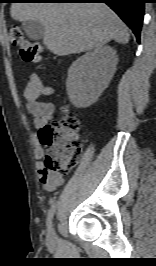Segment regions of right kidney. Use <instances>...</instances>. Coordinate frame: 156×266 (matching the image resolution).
<instances>
[{
    "instance_id": "ca27d5eb",
    "label": "right kidney",
    "mask_w": 156,
    "mask_h": 266,
    "mask_svg": "<svg viewBox=\"0 0 156 266\" xmlns=\"http://www.w3.org/2000/svg\"><path fill=\"white\" fill-rule=\"evenodd\" d=\"M118 63L117 52L109 45L97 47L72 63L66 89L76 108L92 105L110 83Z\"/></svg>"
}]
</instances>
